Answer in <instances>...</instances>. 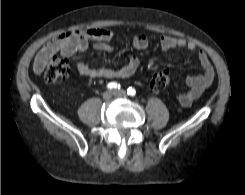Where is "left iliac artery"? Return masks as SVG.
<instances>
[{"instance_id": "44dca946", "label": "left iliac artery", "mask_w": 245, "mask_h": 195, "mask_svg": "<svg viewBox=\"0 0 245 195\" xmlns=\"http://www.w3.org/2000/svg\"><path fill=\"white\" fill-rule=\"evenodd\" d=\"M127 94L130 95V96H134L136 94V90L132 87H129L127 89Z\"/></svg>"}]
</instances>
